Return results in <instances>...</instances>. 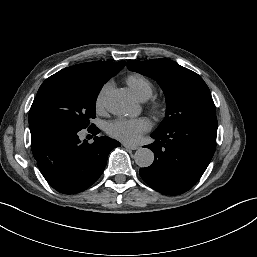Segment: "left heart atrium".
I'll return each mask as SVG.
<instances>
[{
  "mask_svg": "<svg viewBox=\"0 0 257 257\" xmlns=\"http://www.w3.org/2000/svg\"><path fill=\"white\" fill-rule=\"evenodd\" d=\"M152 123L148 118H118L106 126L107 133L113 138L127 144L137 143L148 132Z\"/></svg>",
  "mask_w": 257,
  "mask_h": 257,
  "instance_id": "obj_1",
  "label": "left heart atrium"
}]
</instances>
